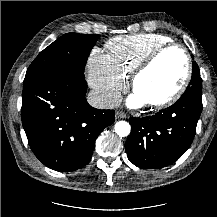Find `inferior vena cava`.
I'll list each match as a JSON object with an SVG mask.
<instances>
[{"mask_svg":"<svg viewBox=\"0 0 217 217\" xmlns=\"http://www.w3.org/2000/svg\"><path fill=\"white\" fill-rule=\"evenodd\" d=\"M88 103L97 109L116 108L121 100L117 93L92 90L87 96Z\"/></svg>","mask_w":217,"mask_h":217,"instance_id":"obj_1","label":"inferior vena cava"}]
</instances>
